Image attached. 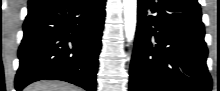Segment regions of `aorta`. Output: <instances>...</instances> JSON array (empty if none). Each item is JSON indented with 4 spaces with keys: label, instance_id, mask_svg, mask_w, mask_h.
I'll use <instances>...</instances> for the list:
<instances>
[{
    "label": "aorta",
    "instance_id": "obj_1",
    "mask_svg": "<svg viewBox=\"0 0 220 91\" xmlns=\"http://www.w3.org/2000/svg\"><path fill=\"white\" fill-rule=\"evenodd\" d=\"M125 36L132 42L135 36L137 23V0H123Z\"/></svg>",
    "mask_w": 220,
    "mask_h": 91
}]
</instances>
